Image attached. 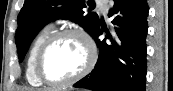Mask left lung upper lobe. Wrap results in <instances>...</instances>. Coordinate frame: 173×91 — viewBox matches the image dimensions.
Masks as SVG:
<instances>
[{
    "label": "left lung upper lobe",
    "mask_w": 173,
    "mask_h": 91,
    "mask_svg": "<svg viewBox=\"0 0 173 91\" xmlns=\"http://www.w3.org/2000/svg\"><path fill=\"white\" fill-rule=\"evenodd\" d=\"M89 0H25L18 15V28L15 35L19 61L27 52L28 46L38 31L55 19H70L81 25L91 36L100 23L94 12L83 11L91 6ZM90 11V10H89Z\"/></svg>",
    "instance_id": "5c2ea615"
}]
</instances>
